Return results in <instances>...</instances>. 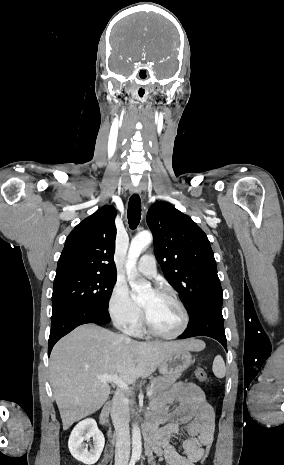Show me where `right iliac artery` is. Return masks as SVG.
Wrapping results in <instances>:
<instances>
[{"label":"right iliac artery","mask_w":284,"mask_h":465,"mask_svg":"<svg viewBox=\"0 0 284 465\" xmlns=\"http://www.w3.org/2000/svg\"><path fill=\"white\" fill-rule=\"evenodd\" d=\"M129 465H135V460L131 459Z\"/></svg>","instance_id":"1"}]
</instances>
